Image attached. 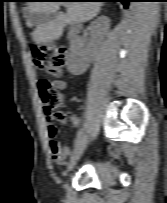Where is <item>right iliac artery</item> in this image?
<instances>
[{
	"label": "right iliac artery",
	"instance_id": "1",
	"mask_svg": "<svg viewBox=\"0 0 167 203\" xmlns=\"http://www.w3.org/2000/svg\"><path fill=\"white\" fill-rule=\"evenodd\" d=\"M82 137H83V130L79 131V133L77 134V137L75 139V145H77L80 142Z\"/></svg>",
	"mask_w": 167,
	"mask_h": 203
}]
</instances>
